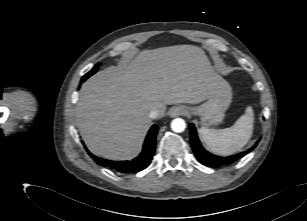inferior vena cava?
<instances>
[{
  "label": "inferior vena cava",
  "mask_w": 307,
  "mask_h": 221,
  "mask_svg": "<svg viewBox=\"0 0 307 221\" xmlns=\"http://www.w3.org/2000/svg\"><path fill=\"white\" fill-rule=\"evenodd\" d=\"M159 117V111L157 109H153L149 113V118L156 119Z\"/></svg>",
  "instance_id": "inferior-vena-cava-1"
}]
</instances>
